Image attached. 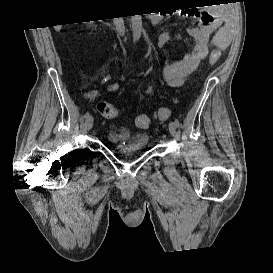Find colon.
<instances>
[{
    "label": "colon",
    "instance_id": "colon-1",
    "mask_svg": "<svg viewBox=\"0 0 273 273\" xmlns=\"http://www.w3.org/2000/svg\"><path fill=\"white\" fill-rule=\"evenodd\" d=\"M220 59L218 51H213L210 55V64L215 65ZM93 93H90L92 96ZM97 109L100 114L105 118H115L118 115L116 106L110 102H100L97 105ZM171 116V112L168 108H159L155 112V117L159 120H168ZM151 123L149 116L139 115L135 118V125L140 128H147Z\"/></svg>",
    "mask_w": 273,
    "mask_h": 273
}]
</instances>
